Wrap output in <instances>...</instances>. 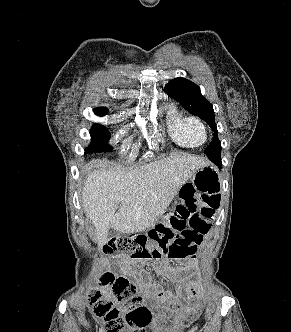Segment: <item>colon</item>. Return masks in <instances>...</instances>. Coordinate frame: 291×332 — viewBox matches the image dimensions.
<instances>
[{
  "instance_id": "5ec220e1",
  "label": "colon",
  "mask_w": 291,
  "mask_h": 332,
  "mask_svg": "<svg viewBox=\"0 0 291 332\" xmlns=\"http://www.w3.org/2000/svg\"><path fill=\"white\" fill-rule=\"evenodd\" d=\"M219 204L216 195L197 194L194 189L181 192V202L162 223L146 233L110 239L105 252L122 251L141 261L164 256L172 260L193 257L211 229ZM102 284L111 287L113 300L102 299L99 292L92 291L88 302L97 316L105 318V332H145L151 312L137 295L136 286L127 278L111 273L103 277ZM118 304H123L124 309ZM199 310L200 306L194 305L181 311L168 332H182L186 322Z\"/></svg>"
}]
</instances>
